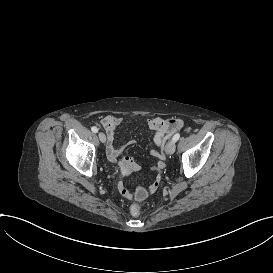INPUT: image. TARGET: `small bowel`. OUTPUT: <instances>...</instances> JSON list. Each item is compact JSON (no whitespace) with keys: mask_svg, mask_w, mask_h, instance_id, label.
<instances>
[{"mask_svg":"<svg viewBox=\"0 0 273 273\" xmlns=\"http://www.w3.org/2000/svg\"><path fill=\"white\" fill-rule=\"evenodd\" d=\"M101 126L106 134L107 138V157L111 162H119L120 166L119 169L122 171L123 176H128L129 173L137 171L139 169L138 165L136 164L135 160L127 156L125 154L126 145H118L115 141V133L116 129L122 123V118L117 115H107L103 117L100 121ZM182 121L178 118H162V117H154L148 120V127L153 131V144L154 148L151 150V154L157 158V165L156 168L159 172H164L167 167V158L164 157L157 149L160 148L166 137L175 131H177L181 127ZM130 168V172H129ZM146 175V174H145ZM144 178V177H143ZM154 182L152 185L149 186L150 192H155L159 189L162 184V176L156 175L154 178ZM118 191L121 195H123L127 199L133 198V193L130 189H128L124 182L118 183ZM140 187V186H139ZM144 187V183H143ZM146 188V187H145Z\"/></svg>","mask_w":273,"mask_h":273,"instance_id":"small-bowel-1","label":"small bowel"}]
</instances>
